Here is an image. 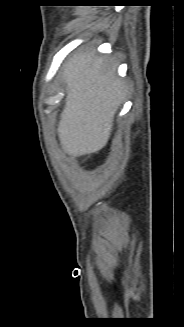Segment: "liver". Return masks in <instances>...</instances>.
I'll list each match as a JSON object with an SVG mask.
<instances>
[{"instance_id": "liver-1", "label": "liver", "mask_w": 184, "mask_h": 327, "mask_svg": "<svg viewBox=\"0 0 184 327\" xmlns=\"http://www.w3.org/2000/svg\"><path fill=\"white\" fill-rule=\"evenodd\" d=\"M65 107L58 125L60 144L73 157L102 149L110 137L125 88L115 67L94 52L76 54L64 67Z\"/></svg>"}]
</instances>
